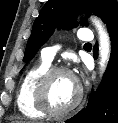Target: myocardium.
Instances as JSON below:
<instances>
[{"label": "myocardium", "mask_w": 118, "mask_h": 123, "mask_svg": "<svg viewBox=\"0 0 118 123\" xmlns=\"http://www.w3.org/2000/svg\"><path fill=\"white\" fill-rule=\"evenodd\" d=\"M60 73H67L73 77L72 72L63 66L50 67L40 78L36 89V103L40 110L51 116H64L74 110L83 98V88L76 81L77 95L75 99L64 108L55 107L50 100V87L54 77ZM74 78V77H73Z\"/></svg>", "instance_id": "f54148a6"}]
</instances>
